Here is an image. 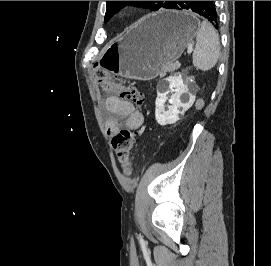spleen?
Masks as SVG:
<instances>
[{"label": "spleen", "instance_id": "obj_1", "mask_svg": "<svg viewBox=\"0 0 271 266\" xmlns=\"http://www.w3.org/2000/svg\"><path fill=\"white\" fill-rule=\"evenodd\" d=\"M220 41L213 26L203 21L196 32V45L193 52V65L197 70L212 69L219 58Z\"/></svg>", "mask_w": 271, "mask_h": 266}]
</instances>
